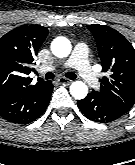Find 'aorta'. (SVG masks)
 <instances>
[{
    "mask_svg": "<svg viewBox=\"0 0 135 165\" xmlns=\"http://www.w3.org/2000/svg\"><path fill=\"white\" fill-rule=\"evenodd\" d=\"M71 49L70 41L64 37L56 38L51 45L52 53L59 58L67 57ZM70 93L75 99H83L88 94V87L82 81H75L70 86Z\"/></svg>",
    "mask_w": 135,
    "mask_h": 165,
    "instance_id": "762f6f07",
    "label": "aorta"
}]
</instances>
